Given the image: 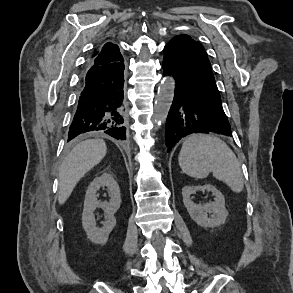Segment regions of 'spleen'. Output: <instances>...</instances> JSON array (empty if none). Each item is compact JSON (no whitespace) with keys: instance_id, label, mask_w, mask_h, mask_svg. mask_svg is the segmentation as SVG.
I'll list each match as a JSON object with an SVG mask.
<instances>
[{"instance_id":"obj_1","label":"spleen","mask_w":293,"mask_h":293,"mask_svg":"<svg viewBox=\"0 0 293 293\" xmlns=\"http://www.w3.org/2000/svg\"><path fill=\"white\" fill-rule=\"evenodd\" d=\"M182 171L194 178L213 176L240 193L244 188L243 174L236 155L220 138L210 134H193L182 145L179 157Z\"/></svg>"}]
</instances>
